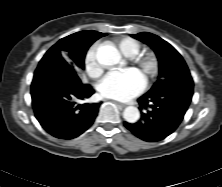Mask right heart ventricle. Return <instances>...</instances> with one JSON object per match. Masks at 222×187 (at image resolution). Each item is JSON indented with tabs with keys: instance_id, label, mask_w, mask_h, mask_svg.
<instances>
[{
	"instance_id": "obj_1",
	"label": "right heart ventricle",
	"mask_w": 222,
	"mask_h": 187,
	"mask_svg": "<svg viewBox=\"0 0 222 187\" xmlns=\"http://www.w3.org/2000/svg\"><path fill=\"white\" fill-rule=\"evenodd\" d=\"M118 48L120 51L127 57H134L141 51V44L139 41L130 38V37H124L121 39H118L116 41Z\"/></svg>"
}]
</instances>
